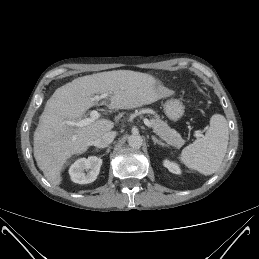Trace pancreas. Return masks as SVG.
I'll use <instances>...</instances> for the list:
<instances>
[{"mask_svg":"<svg viewBox=\"0 0 259 259\" xmlns=\"http://www.w3.org/2000/svg\"><path fill=\"white\" fill-rule=\"evenodd\" d=\"M140 113H149L154 115L155 120L151 121L153 131L166 141L167 144L176 148H180L184 145L185 140H183L180 134H178L174 129H171L166 122L162 121L159 115L155 114L150 109H142Z\"/></svg>","mask_w":259,"mask_h":259,"instance_id":"cf45deb5","label":"pancreas"}]
</instances>
